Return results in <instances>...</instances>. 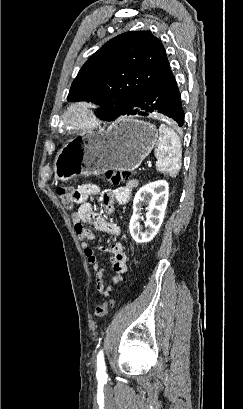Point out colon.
Masks as SVG:
<instances>
[{
  "instance_id": "colon-1",
  "label": "colon",
  "mask_w": 243,
  "mask_h": 409,
  "mask_svg": "<svg viewBox=\"0 0 243 409\" xmlns=\"http://www.w3.org/2000/svg\"><path fill=\"white\" fill-rule=\"evenodd\" d=\"M106 177L110 183L118 184L122 181L129 180L131 177V172L128 170H111L106 174ZM56 194L64 207L67 209H73L79 203L76 190L67 184L57 187ZM114 305V299L104 301L96 307V317L99 319L104 318L108 314L109 310L114 307Z\"/></svg>"
}]
</instances>
